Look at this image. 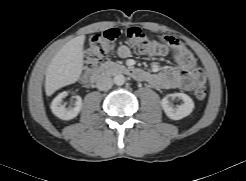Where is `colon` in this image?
Here are the masks:
<instances>
[{
	"mask_svg": "<svg viewBox=\"0 0 246 181\" xmlns=\"http://www.w3.org/2000/svg\"><path fill=\"white\" fill-rule=\"evenodd\" d=\"M118 35L119 31L117 29H109L97 33L90 40L85 55L84 78L95 70L99 63L113 50ZM126 36L133 47L141 54L159 56L167 53L169 48L178 51L179 44L177 40L170 37L152 38L137 27L128 28ZM194 95L199 100L204 99L207 95L206 87H197Z\"/></svg>",
	"mask_w": 246,
	"mask_h": 181,
	"instance_id": "obj_1",
	"label": "colon"
}]
</instances>
